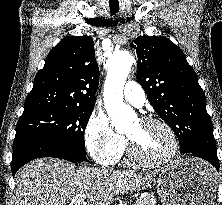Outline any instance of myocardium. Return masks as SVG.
I'll return each mask as SVG.
<instances>
[{
  "instance_id": "1",
  "label": "myocardium",
  "mask_w": 222,
  "mask_h": 205,
  "mask_svg": "<svg viewBox=\"0 0 222 205\" xmlns=\"http://www.w3.org/2000/svg\"><path fill=\"white\" fill-rule=\"evenodd\" d=\"M139 121L144 124H158L162 126L167 131V133L171 138L172 147L170 152L161 159L158 160L147 159L140 155L134 141L129 136L126 135L129 158L137 164L148 167H163L170 164L176 158L179 151V141L174 129L165 120L154 116H144L141 117Z\"/></svg>"
}]
</instances>
